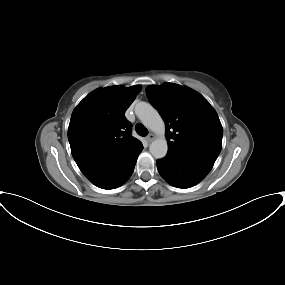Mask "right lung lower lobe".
Instances as JSON below:
<instances>
[{"mask_svg":"<svg viewBox=\"0 0 285 285\" xmlns=\"http://www.w3.org/2000/svg\"><path fill=\"white\" fill-rule=\"evenodd\" d=\"M143 146L125 158L117 167L108 172L103 177L92 181L96 186L103 189H114L121 186L134 171V166Z\"/></svg>","mask_w":285,"mask_h":285,"instance_id":"1","label":"right lung lower lobe"}]
</instances>
